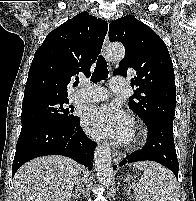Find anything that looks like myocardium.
<instances>
[{"label":"myocardium","instance_id":"f54148a6","mask_svg":"<svg viewBox=\"0 0 196 201\" xmlns=\"http://www.w3.org/2000/svg\"><path fill=\"white\" fill-rule=\"evenodd\" d=\"M144 137V132L141 126L136 125L133 129L132 136L129 140L130 145L140 142Z\"/></svg>","mask_w":196,"mask_h":201}]
</instances>
